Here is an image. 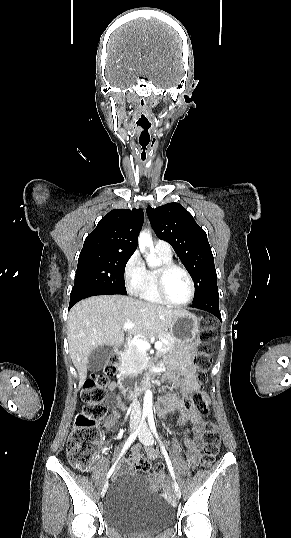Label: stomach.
<instances>
[{
  "label": "stomach",
  "instance_id": "stomach-1",
  "mask_svg": "<svg viewBox=\"0 0 291 538\" xmlns=\"http://www.w3.org/2000/svg\"><path fill=\"white\" fill-rule=\"evenodd\" d=\"M169 331L178 344L192 342L199 331L198 319L194 314L184 312L175 318Z\"/></svg>",
  "mask_w": 291,
  "mask_h": 538
}]
</instances>
